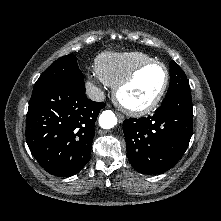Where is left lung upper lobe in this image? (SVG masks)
<instances>
[{"label":"left lung upper lobe","mask_w":221,"mask_h":221,"mask_svg":"<svg viewBox=\"0 0 221 221\" xmlns=\"http://www.w3.org/2000/svg\"><path fill=\"white\" fill-rule=\"evenodd\" d=\"M170 78V85L166 97L181 89L189 88V83L185 73L174 61L170 62Z\"/></svg>","instance_id":"5c2ea615"}]
</instances>
